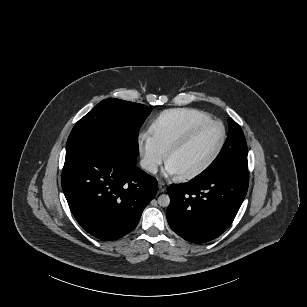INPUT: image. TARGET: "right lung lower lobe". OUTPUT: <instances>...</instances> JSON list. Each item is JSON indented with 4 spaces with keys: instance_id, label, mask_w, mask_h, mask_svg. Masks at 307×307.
I'll return each mask as SVG.
<instances>
[{
    "instance_id": "98d812e1",
    "label": "right lung lower lobe",
    "mask_w": 307,
    "mask_h": 307,
    "mask_svg": "<svg viewBox=\"0 0 307 307\" xmlns=\"http://www.w3.org/2000/svg\"><path fill=\"white\" fill-rule=\"evenodd\" d=\"M62 189L82 228L110 241L136 227L157 180L114 147L93 144L66 154Z\"/></svg>"
}]
</instances>
